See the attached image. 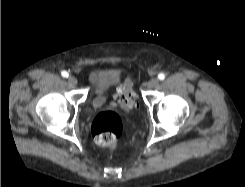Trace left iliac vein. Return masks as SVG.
I'll return each instance as SVG.
<instances>
[{
	"instance_id": "obj_1",
	"label": "left iliac vein",
	"mask_w": 245,
	"mask_h": 187,
	"mask_svg": "<svg viewBox=\"0 0 245 187\" xmlns=\"http://www.w3.org/2000/svg\"><path fill=\"white\" fill-rule=\"evenodd\" d=\"M159 83V79L156 77L151 78L148 82H147V88L151 89L154 88L155 86H157Z\"/></svg>"
}]
</instances>
